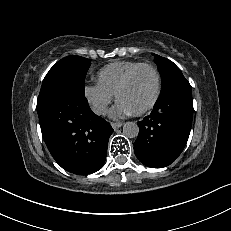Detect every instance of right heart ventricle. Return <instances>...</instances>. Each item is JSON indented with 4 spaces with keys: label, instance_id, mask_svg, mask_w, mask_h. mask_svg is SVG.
I'll return each instance as SVG.
<instances>
[{
    "label": "right heart ventricle",
    "instance_id": "right-heart-ventricle-1",
    "mask_svg": "<svg viewBox=\"0 0 231 231\" xmlns=\"http://www.w3.org/2000/svg\"><path fill=\"white\" fill-rule=\"evenodd\" d=\"M138 61H115L102 67L97 73V82L104 89L115 94L126 75L136 66Z\"/></svg>",
    "mask_w": 231,
    "mask_h": 231
}]
</instances>
